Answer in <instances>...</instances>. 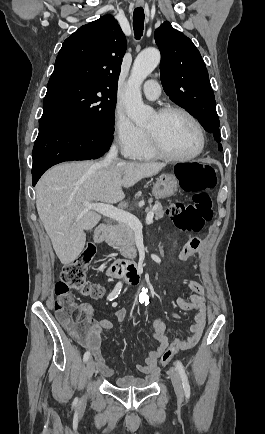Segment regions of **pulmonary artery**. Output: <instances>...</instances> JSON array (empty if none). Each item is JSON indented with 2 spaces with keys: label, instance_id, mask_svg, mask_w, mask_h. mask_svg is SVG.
<instances>
[{
  "label": "pulmonary artery",
  "instance_id": "1",
  "mask_svg": "<svg viewBox=\"0 0 265 434\" xmlns=\"http://www.w3.org/2000/svg\"><path fill=\"white\" fill-rule=\"evenodd\" d=\"M144 92L146 96H149L151 98H156L157 96H160L161 90L159 81L155 79L147 80L144 87Z\"/></svg>",
  "mask_w": 265,
  "mask_h": 434
}]
</instances>
